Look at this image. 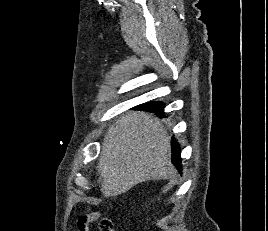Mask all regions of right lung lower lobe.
<instances>
[{
	"mask_svg": "<svg viewBox=\"0 0 268 231\" xmlns=\"http://www.w3.org/2000/svg\"><path fill=\"white\" fill-rule=\"evenodd\" d=\"M135 109L155 112L156 115L163 117V113H162L163 110L151 111V110H148L142 106H137V107H135ZM172 163L177 167L178 170H180L181 158H180V149H179V145L177 142L172 143Z\"/></svg>",
	"mask_w": 268,
	"mask_h": 231,
	"instance_id": "obj_1",
	"label": "right lung lower lobe"
}]
</instances>
